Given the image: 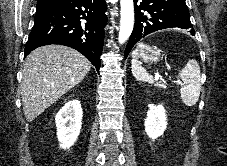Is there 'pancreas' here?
<instances>
[{
  "label": "pancreas",
  "mask_w": 227,
  "mask_h": 166,
  "mask_svg": "<svg viewBox=\"0 0 227 166\" xmlns=\"http://www.w3.org/2000/svg\"><path fill=\"white\" fill-rule=\"evenodd\" d=\"M161 87H162V88H165V86H164V85H161Z\"/></svg>",
  "instance_id": "pancreas-1"
}]
</instances>
